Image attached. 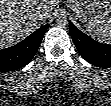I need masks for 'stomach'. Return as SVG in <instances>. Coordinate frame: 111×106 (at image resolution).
<instances>
[{"instance_id": "stomach-1", "label": "stomach", "mask_w": 111, "mask_h": 106, "mask_svg": "<svg viewBox=\"0 0 111 106\" xmlns=\"http://www.w3.org/2000/svg\"><path fill=\"white\" fill-rule=\"evenodd\" d=\"M67 5L83 22L103 20L111 12V2L108 0H70Z\"/></svg>"}]
</instances>
